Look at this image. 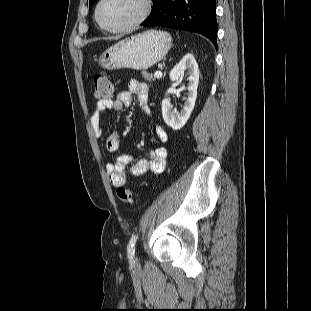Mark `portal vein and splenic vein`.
I'll return each mask as SVG.
<instances>
[{"mask_svg": "<svg viewBox=\"0 0 311 311\" xmlns=\"http://www.w3.org/2000/svg\"><path fill=\"white\" fill-rule=\"evenodd\" d=\"M154 77L157 78V79L161 78L162 77V72L161 71H156L154 73Z\"/></svg>", "mask_w": 311, "mask_h": 311, "instance_id": "obj_1", "label": "portal vein and splenic vein"}]
</instances>
